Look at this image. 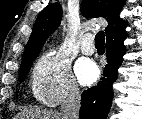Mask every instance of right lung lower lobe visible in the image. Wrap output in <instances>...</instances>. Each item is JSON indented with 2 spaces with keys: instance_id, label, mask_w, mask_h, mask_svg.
<instances>
[{
  "instance_id": "1",
  "label": "right lung lower lobe",
  "mask_w": 142,
  "mask_h": 119,
  "mask_svg": "<svg viewBox=\"0 0 142 119\" xmlns=\"http://www.w3.org/2000/svg\"><path fill=\"white\" fill-rule=\"evenodd\" d=\"M127 34L107 40L105 66L102 80L95 87L85 90L81 96V119H106L113 98L112 85L117 80L118 68L123 61V41Z\"/></svg>"
}]
</instances>
